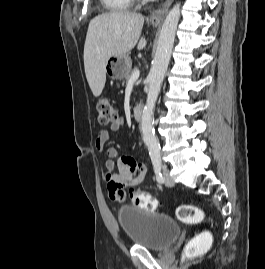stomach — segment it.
Here are the masks:
<instances>
[{"label": "stomach", "instance_id": "0dacf381", "mask_svg": "<svg viewBox=\"0 0 265 269\" xmlns=\"http://www.w3.org/2000/svg\"><path fill=\"white\" fill-rule=\"evenodd\" d=\"M131 59L128 55H114L106 63V73L112 79L121 80L131 71Z\"/></svg>", "mask_w": 265, "mask_h": 269}]
</instances>
